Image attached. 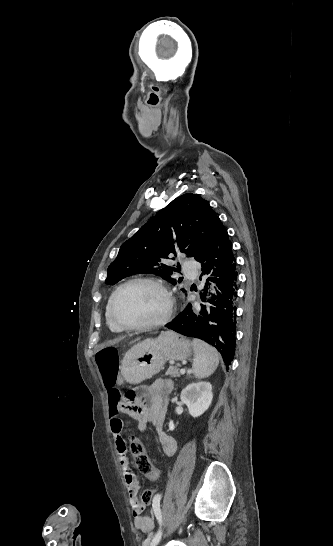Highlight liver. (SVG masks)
I'll list each match as a JSON object with an SVG mask.
<instances>
[{"label":"liver","mask_w":333,"mask_h":546,"mask_svg":"<svg viewBox=\"0 0 333 546\" xmlns=\"http://www.w3.org/2000/svg\"><path fill=\"white\" fill-rule=\"evenodd\" d=\"M138 340H140V338H137V339H135L134 341H132V342H130V343L132 344V343H134V342H136V341H138Z\"/></svg>","instance_id":"obj_1"}]
</instances>
